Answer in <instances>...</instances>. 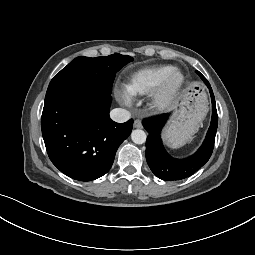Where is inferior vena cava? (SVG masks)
I'll return each instance as SVG.
<instances>
[{
	"mask_svg": "<svg viewBox=\"0 0 255 255\" xmlns=\"http://www.w3.org/2000/svg\"><path fill=\"white\" fill-rule=\"evenodd\" d=\"M110 117L115 122L123 123L130 119L131 114L125 109L115 108L110 112Z\"/></svg>",
	"mask_w": 255,
	"mask_h": 255,
	"instance_id": "inferior-vena-cava-1",
	"label": "inferior vena cava"
}]
</instances>
